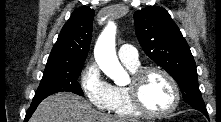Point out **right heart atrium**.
Wrapping results in <instances>:
<instances>
[{
	"label": "right heart atrium",
	"instance_id": "right-heart-atrium-1",
	"mask_svg": "<svg viewBox=\"0 0 221 122\" xmlns=\"http://www.w3.org/2000/svg\"><path fill=\"white\" fill-rule=\"evenodd\" d=\"M80 84L87 99L100 109H108L112 86L101 75L94 62H88L80 75Z\"/></svg>",
	"mask_w": 221,
	"mask_h": 122
}]
</instances>
